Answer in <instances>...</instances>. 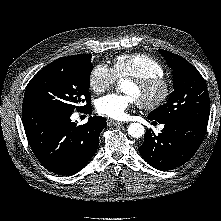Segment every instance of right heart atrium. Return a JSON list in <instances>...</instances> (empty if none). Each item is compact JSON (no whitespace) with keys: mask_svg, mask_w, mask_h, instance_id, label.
<instances>
[{"mask_svg":"<svg viewBox=\"0 0 221 221\" xmlns=\"http://www.w3.org/2000/svg\"><path fill=\"white\" fill-rule=\"evenodd\" d=\"M117 79L113 68L105 63H98L90 72L89 85L94 92L102 93L111 88Z\"/></svg>","mask_w":221,"mask_h":221,"instance_id":"right-heart-atrium-1","label":"right heart atrium"}]
</instances>
